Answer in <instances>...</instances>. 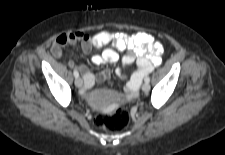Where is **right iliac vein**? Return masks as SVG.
<instances>
[{
  "mask_svg": "<svg viewBox=\"0 0 225 155\" xmlns=\"http://www.w3.org/2000/svg\"><path fill=\"white\" fill-rule=\"evenodd\" d=\"M82 84H83L82 79L80 77H77L75 79V86L78 87V88H80L82 86Z\"/></svg>",
  "mask_w": 225,
  "mask_h": 155,
  "instance_id": "1",
  "label": "right iliac vein"
}]
</instances>
